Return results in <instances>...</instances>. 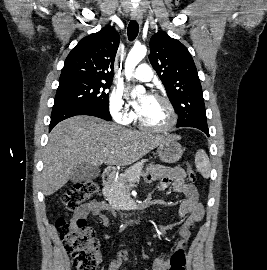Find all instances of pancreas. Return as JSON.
I'll list each match as a JSON object with an SVG mask.
<instances>
[{
    "label": "pancreas",
    "mask_w": 267,
    "mask_h": 270,
    "mask_svg": "<svg viewBox=\"0 0 267 270\" xmlns=\"http://www.w3.org/2000/svg\"><path fill=\"white\" fill-rule=\"evenodd\" d=\"M145 160L129 167L103 190V195L111 205H118L130 200V190L133 184L140 180Z\"/></svg>",
    "instance_id": "cf45deb5"
}]
</instances>
